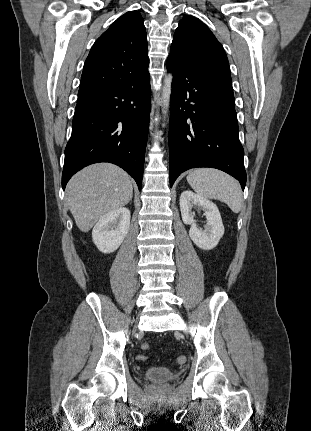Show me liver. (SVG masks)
I'll return each mask as SVG.
<instances>
[{"mask_svg": "<svg viewBox=\"0 0 311 431\" xmlns=\"http://www.w3.org/2000/svg\"><path fill=\"white\" fill-rule=\"evenodd\" d=\"M67 206L81 231H89L100 217L129 204L130 176L114 164H93L67 184Z\"/></svg>", "mask_w": 311, "mask_h": 431, "instance_id": "6515ba94", "label": "liver"}]
</instances>
